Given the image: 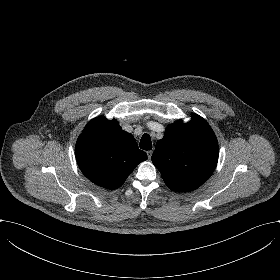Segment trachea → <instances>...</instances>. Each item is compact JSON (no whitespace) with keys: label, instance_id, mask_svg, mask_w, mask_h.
I'll use <instances>...</instances> for the list:
<instances>
[{"label":"trachea","instance_id":"obj_1","mask_svg":"<svg viewBox=\"0 0 280 280\" xmlns=\"http://www.w3.org/2000/svg\"><path fill=\"white\" fill-rule=\"evenodd\" d=\"M140 148L143 150H151L152 149V143H151V139L150 136L145 133L140 141Z\"/></svg>","mask_w":280,"mask_h":280}]
</instances>
